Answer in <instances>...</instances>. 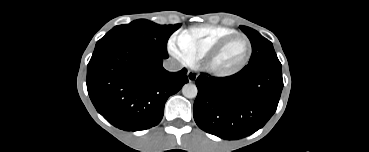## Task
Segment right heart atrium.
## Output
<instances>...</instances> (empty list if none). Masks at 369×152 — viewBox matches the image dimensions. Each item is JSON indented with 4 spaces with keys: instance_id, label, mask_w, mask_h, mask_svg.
Segmentation results:
<instances>
[{
    "instance_id": "d8ad5b80",
    "label": "right heart atrium",
    "mask_w": 369,
    "mask_h": 152,
    "mask_svg": "<svg viewBox=\"0 0 369 152\" xmlns=\"http://www.w3.org/2000/svg\"><path fill=\"white\" fill-rule=\"evenodd\" d=\"M168 49L172 55L177 57L185 64H191L192 58L188 51L184 49L178 42L177 38H171L168 43Z\"/></svg>"
}]
</instances>
